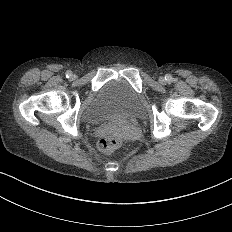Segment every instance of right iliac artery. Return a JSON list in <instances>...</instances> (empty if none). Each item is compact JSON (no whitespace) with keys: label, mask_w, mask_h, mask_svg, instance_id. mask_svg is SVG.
<instances>
[{"label":"right iliac artery","mask_w":232,"mask_h":232,"mask_svg":"<svg viewBox=\"0 0 232 232\" xmlns=\"http://www.w3.org/2000/svg\"><path fill=\"white\" fill-rule=\"evenodd\" d=\"M71 76H72V72H71V71H67V72H66V77H67V78H70Z\"/></svg>","instance_id":"82829eb1"}]
</instances>
